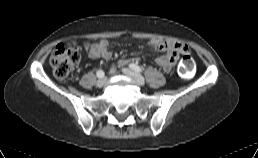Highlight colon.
Wrapping results in <instances>:
<instances>
[{"instance_id":"colon-1","label":"colon","mask_w":258,"mask_h":158,"mask_svg":"<svg viewBox=\"0 0 258 158\" xmlns=\"http://www.w3.org/2000/svg\"><path fill=\"white\" fill-rule=\"evenodd\" d=\"M81 59V49L74 43L59 44L50 57V65L54 76L59 80L69 77L74 66ZM194 62L189 55H184L180 63L178 72L184 79H189L193 75Z\"/></svg>"}]
</instances>
